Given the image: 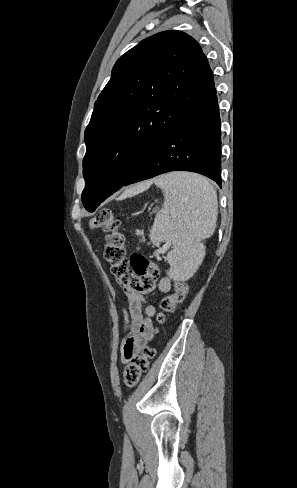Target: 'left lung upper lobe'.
Listing matches in <instances>:
<instances>
[{
    "label": "left lung upper lobe",
    "instance_id": "left-lung-upper-lobe-1",
    "mask_svg": "<svg viewBox=\"0 0 297 488\" xmlns=\"http://www.w3.org/2000/svg\"><path fill=\"white\" fill-rule=\"evenodd\" d=\"M216 93L198 43L169 30L122 55L85 130L82 202L89 212L120 189L182 120Z\"/></svg>",
    "mask_w": 297,
    "mask_h": 488
}]
</instances>
